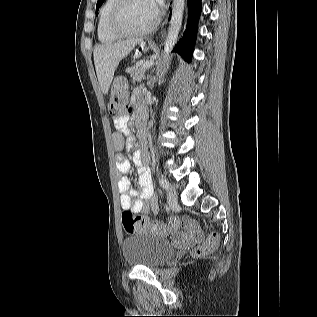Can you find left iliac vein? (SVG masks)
Instances as JSON below:
<instances>
[{
  "instance_id": "1",
  "label": "left iliac vein",
  "mask_w": 317,
  "mask_h": 317,
  "mask_svg": "<svg viewBox=\"0 0 317 317\" xmlns=\"http://www.w3.org/2000/svg\"><path fill=\"white\" fill-rule=\"evenodd\" d=\"M167 199L169 204L174 205L177 203V193L175 188L172 185H169L167 188Z\"/></svg>"
}]
</instances>
